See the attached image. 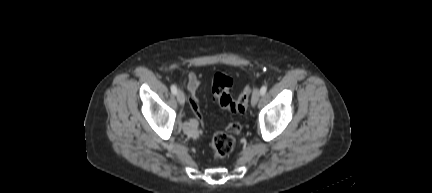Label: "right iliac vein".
<instances>
[{
	"mask_svg": "<svg viewBox=\"0 0 432 193\" xmlns=\"http://www.w3.org/2000/svg\"><path fill=\"white\" fill-rule=\"evenodd\" d=\"M177 101L180 105H183L185 103V95L181 90L177 92Z\"/></svg>",
	"mask_w": 432,
	"mask_h": 193,
	"instance_id": "obj_1",
	"label": "right iliac vein"
}]
</instances>
